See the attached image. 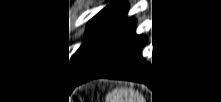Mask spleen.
<instances>
[{"label": "spleen", "mask_w": 221, "mask_h": 102, "mask_svg": "<svg viewBox=\"0 0 221 102\" xmlns=\"http://www.w3.org/2000/svg\"><path fill=\"white\" fill-rule=\"evenodd\" d=\"M140 95L132 88H118L107 95V102H135Z\"/></svg>", "instance_id": "obj_1"}]
</instances>
